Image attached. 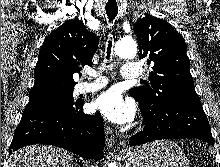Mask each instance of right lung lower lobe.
<instances>
[{
    "label": "right lung lower lobe",
    "instance_id": "1",
    "mask_svg": "<svg viewBox=\"0 0 220 167\" xmlns=\"http://www.w3.org/2000/svg\"><path fill=\"white\" fill-rule=\"evenodd\" d=\"M84 102L45 97L27 104L9 154L31 144H50L87 159L104 157V126L100 113H83Z\"/></svg>",
    "mask_w": 220,
    "mask_h": 167
}]
</instances>
